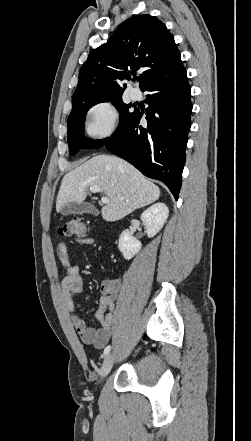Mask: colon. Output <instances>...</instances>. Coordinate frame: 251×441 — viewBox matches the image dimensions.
<instances>
[{
    "label": "colon",
    "mask_w": 251,
    "mask_h": 441,
    "mask_svg": "<svg viewBox=\"0 0 251 441\" xmlns=\"http://www.w3.org/2000/svg\"><path fill=\"white\" fill-rule=\"evenodd\" d=\"M59 235L62 237L82 238L87 233V228L82 219L74 217L59 227Z\"/></svg>",
    "instance_id": "5ec220e1"
}]
</instances>
